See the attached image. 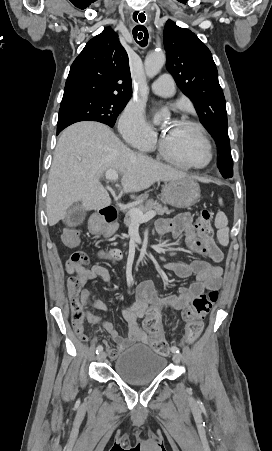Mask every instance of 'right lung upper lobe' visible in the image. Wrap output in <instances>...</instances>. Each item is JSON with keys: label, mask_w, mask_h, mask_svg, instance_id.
<instances>
[{"label": "right lung upper lobe", "mask_w": 272, "mask_h": 451, "mask_svg": "<svg viewBox=\"0 0 272 451\" xmlns=\"http://www.w3.org/2000/svg\"><path fill=\"white\" fill-rule=\"evenodd\" d=\"M131 95L128 55L118 35L107 27L71 65L62 101L87 96L130 99Z\"/></svg>", "instance_id": "cb5924a9"}]
</instances>
